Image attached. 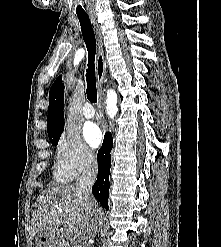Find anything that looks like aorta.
Returning <instances> with one entry per match:
<instances>
[{"mask_svg": "<svg viewBox=\"0 0 221 247\" xmlns=\"http://www.w3.org/2000/svg\"><path fill=\"white\" fill-rule=\"evenodd\" d=\"M107 110L110 116H114L117 111V94L114 90H109L107 94Z\"/></svg>", "mask_w": 221, "mask_h": 247, "instance_id": "aorta-1", "label": "aorta"}]
</instances>
